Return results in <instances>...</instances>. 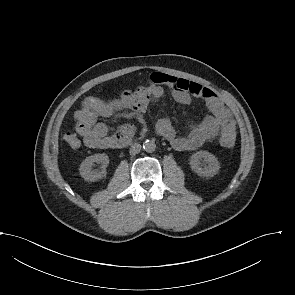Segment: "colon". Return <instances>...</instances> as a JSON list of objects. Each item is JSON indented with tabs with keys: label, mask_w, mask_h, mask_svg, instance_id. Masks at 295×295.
<instances>
[{
	"label": "colon",
	"mask_w": 295,
	"mask_h": 295,
	"mask_svg": "<svg viewBox=\"0 0 295 295\" xmlns=\"http://www.w3.org/2000/svg\"><path fill=\"white\" fill-rule=\"evenodd\" d=\"M64 139L66 143L72 148L79 146V139L76 133L73 131L66 132L64 135ZM235 140H236L235 126L228 123L221 130V136H220L221 145L226 148H230L234 145Z\"/></svg>",
	"instance_id": "colon-1"
}]
</instances>
